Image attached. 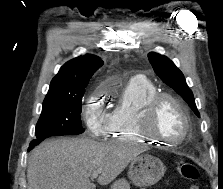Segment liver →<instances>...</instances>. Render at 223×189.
<instances>
[{
    "label": "liver",
    "mask_w": 223,
    "mask_h": 189,
    "mask_svg": "<svg viewBox=\"0 0 223 189\" xmlns=\"http://www.w3.org/2000/svg\"><path fill=\"white\" fill-rule=\"evenodd\" d=\"M131 143H99L90 138L46 140L28 159L27 189H95L90 181L100 171V185L111 183L140 153Z\"/></svg>",
    "instance_id": "obj_1"
}]
</instances>
